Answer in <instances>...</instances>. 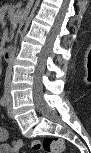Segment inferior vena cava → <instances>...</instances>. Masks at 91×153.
<instances>
[{
	"instance_id": "602c4592",
	"label": "inferior vena cava",
	"mask_w": 91,
	"mask_h": 153,
	"mask_svg": "<svg viewBox=\"0 0 91 153\" xmlns=\"http://www.w3.org/2000/svg\"><path fill=\"white\" fill-rule=\"evenodd\" d=\"M33 5V0H29L24 12H23V17H25L26 15H28V13L30 12V9ZM13 50H18V47H13ZM16 52V51H15ZM16 57H14V54L11 57V60L9 61L10 63H8V69L6 71V76H5V89L8 91L9 86L11 84V76H12V70H13V63H15L16 61Z\"/></svg>"
}]
</instances>
